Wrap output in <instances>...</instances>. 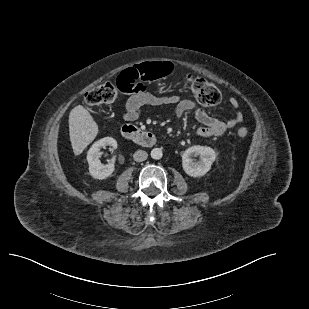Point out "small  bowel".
<instances>
[{"label":"small bowel","instance_id":"obj_1","mask_svg":"<svg viewBox=\"0 0 309 309\" xmlns=\"http://www.w3.org/2000/svg\"><path fill=\"white\" fill-rule=\"evenodd\" d=\"M122 83L126 88L133 89L135 86L131 84L132 81L128 77H125ZM128 93H131V95L125 102L122 116L127 122L137 120L141 116L143 108L146 106L156 107L172 105L174 107V114L177 117H181L188 112H193L197 121L202 124V126L198 128L197 134L201 137H212L223 135L228 129L238 126L244 120V115L239 109V102L235 98L229 99V104L236 110L234 117L227 121H222L211 116L192 99H181L178 95L156 96L148 92L144 86Z\"/></svg>","mask_w":309,"mask_h":309}]
</instances>
